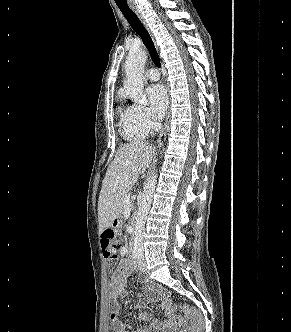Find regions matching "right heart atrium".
<instances>
[{
    "instance_id": "1",
    "label": "right heart atrium",
    "mask_w": 291,
    "mask_h": 332,
    "mask_svg": "<svg viewBox=\"0 0 291 332\" xmlns=\"http://www.w3.org/2000/svg\"><path fill=\"white\" fill-rule=\"evenodd\" d=\"M132 108V121L134 126L148 133L153 130L156 124L151 120L148 110L141 105H133Z\"/></svg>"
}]
</instances>
